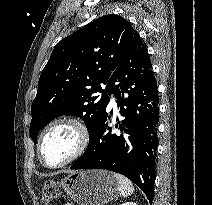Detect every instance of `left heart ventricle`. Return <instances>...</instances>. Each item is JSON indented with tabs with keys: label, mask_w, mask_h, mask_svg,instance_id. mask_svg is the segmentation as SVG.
I'll return each mask as SVG.
<instances>
[{
	"label": "left heart ventricle",
	"mask_w": 212,
	"mask_h": 205,
	"mask_svg": "<svg viewBox=\"0 0 212 205\" xmlns=\"http://www.w3.org/2000/svg\"><path fill=\"white\" fill-rule=\"evenodd\" d=\"M77 146V135L70 126H58L46 136L42 155L48 164H57L69 157Z\"/></svg>",
	"instance_id": "b2bd125f"
}]
</instances>
